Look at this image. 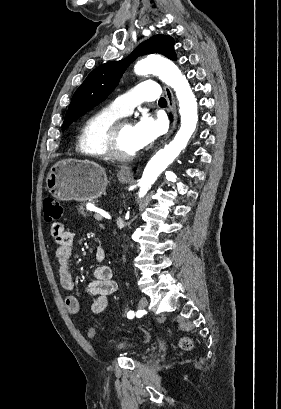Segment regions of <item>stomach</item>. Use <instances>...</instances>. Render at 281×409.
Returning <instances> with one entry per match:
<instances>
[{
  "label": "stomach",
  "instance_id": "1",
  "mask_svg": "<svg viewBox=\"0 0 281 409\" xmlns=\"http://www.w3.org/2000/svg\"><path fill=\"white\" fill-rule=\"evenodd\" d=\"M120 182H128L130 176L118 174ZM108 184L105 168L94 160L63 158L51 166L46 186L58 200H94L101 196Z\"/></svg>",
  "mask_w": 281,
  "mask_h": 409
}]
</instances>
